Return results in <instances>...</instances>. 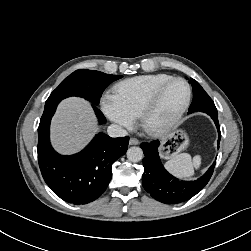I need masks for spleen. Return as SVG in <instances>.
<instances>
[{
  "label": "spleen",
  "instance_id": "spleen-1",
  "mask_svg": "<svg viewBox=\"0 0 251 251\" xmlns=\"http://www.w3.org/2000/svg\"><path fill=\"white\" fill-rule=\"evenodd\" d=\"M201 165V157L196 155L191 158L188 153L173 156L165 163V168L179 178H189L194 174V169Z\"/></svg>",
  "mask_w": 251,
  "mask_h": 251
}]
</instances>
